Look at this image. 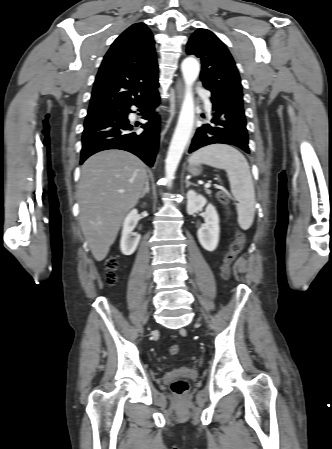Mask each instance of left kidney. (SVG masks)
<instances>
[{
	"mask_svg": "<svg viewBox=\"0 0 332 449\" xmlns=\"http://www.w3.org/2000/svg\"><path fill=\"white\" fill-rule=\"evenodd\" d=\"M207 200L197 194L194 190L187 193V213H194L203 209ZM205 223L197 231V236L202 247L207 251H214L217 248L220 235L219 216L212 204H207L205 209Z\"/></svg>",
	"mask_w": 332,
	"mask_h": 449,
	"instance_id": "1",
	"label": "left kidney"
}]
</instances>
